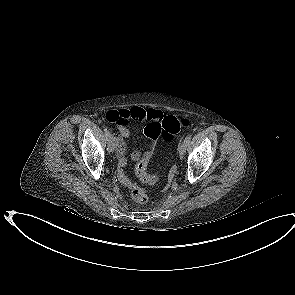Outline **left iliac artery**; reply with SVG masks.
<instances>
[{"mask_svg": "<svg viewBox=\"0 0 295 295\" xmlns=\"http://www.w3.org/2000/svg\"><path fill=\"white\" fill-rule=\"evenodd\" d=\"M191 138H192V135H191V134H188V135L186 136V138H185L184 141H186L187 143H189L190 140H191Z\"/></svg>", "mask_w": 295, "mask_h": 295, "instance_id": "44dca946", "label": "left iliac artery"}]
</instances>
